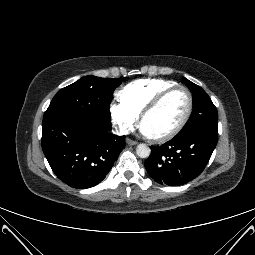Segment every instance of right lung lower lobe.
I'll return each instance as SVG.
<instances>
[{"label": "right lung lower lobe", "instance_id": "98d812e1", "mask_svg": "<svg viewBox=\"0 0 255 255\" xmlns=\"http://www.w3.org/2000/svg\"><path fill=\"white\" fill-rule=\"evenodd\" d=\"M42 148L56 176L71 187L99 184L125 147V136L110 132L77 114H56L43 119Z\"/></svg>", "mask_w": 255, "mask_h": 255}]
</instances>
